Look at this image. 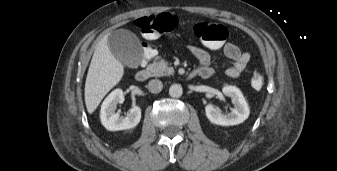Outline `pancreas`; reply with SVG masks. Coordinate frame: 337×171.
Returning a JSON list of instances; mask_svg holds the SVG:
<instances>
[{"instance_id":"1","label":"pancreas","mask_w":337,"mask_h":171,"mask_svg":"<svg viewBox=\"0 0 337 171\" xmlns=\"http://www.w3.org/2000/svg\"><path fill=\"white\" fill-rule=\"evenodd\" d=\"M149 70L153 73L154 76L161 77L165 75H170L174 73L172 67L168 66V62L164 60L155 61L149 65Z\"/></svg>"}]
</instances>
